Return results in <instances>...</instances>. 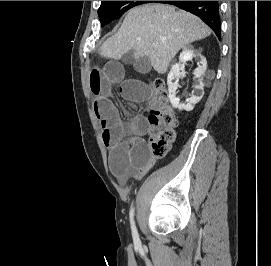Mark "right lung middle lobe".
<instances>
[{
  "instance_id": "right-lung-middle-lobe-1",
  "label": "right lung middle lobe",
  "mask_w": 271,
  "mask_h": 266,
  "mask_svg": "<svg viewBox=\"0 0 271 266\" xmlns=\"http://www.w3.org/2000/svg\"><path fill=\"white\" fill-rule=\"evenodd\" d=\"M150 2L151 1H102L98 9L101 26H105L111 21L120 18L123 13L132 7Z\"/></svg>"
}]
</instances>
